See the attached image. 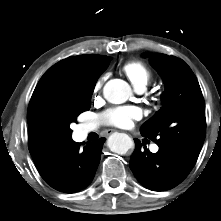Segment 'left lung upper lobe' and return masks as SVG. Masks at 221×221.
<instances>
[{"label": "left lung upper lobe", "mask_w": 221, "mask_h": 221, "mask_svg": "<svg viewBox=\"0 0 221 221\" xmlns=\"http://www.w3.org/2000/svg\"><path fill=\"white\" fill-rule=\"evenodd\" d=\"M150 61L166 89L163 106L140 132L194 166L206 134L205 102L199 83L190 67L177 57L156 54Z\"/></svg>", "instance_id": "obj_1"}]
</instances>
